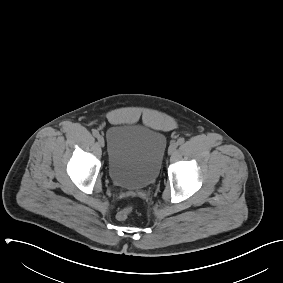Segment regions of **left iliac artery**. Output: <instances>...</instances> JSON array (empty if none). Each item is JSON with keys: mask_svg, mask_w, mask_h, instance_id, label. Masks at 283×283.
I'll use <instances>...</instances> for the list:
<instances>
[{"mask_svg": "<svg viewBox=\"0 0 283 283\" xmlns=\"http://www.w3.org/2000/svg\"><path fill=\"white\" fill-rule=\"evenodd\" d=\"M184 141H185L184 138H179L178 141H177V143L180 145V144H183Z\"/></svg>", "mask_w": 283, "mask_h": 283, "instance_id": "1", "label": "left iliac artery"}]
</instances>
